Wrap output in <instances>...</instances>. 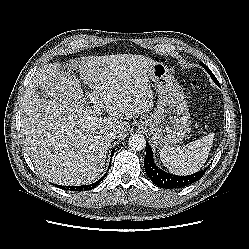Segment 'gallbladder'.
<instances>
[{"label":"gallbladder","instance_id":"gallbladder-1","mask_svg":"<svg viewBox=\"0 0 249 249\" xmlns=\"http://www.w3.org/2000/svg\"><path fill=\"white\" fill-rule=\"evenodd\" d=\"M37 93L39 94V96L41 98H45V94H44V92H43V90L41 88H37Z\"/></svg>","mask_w":249,"mask_h":249}]
</instances>
